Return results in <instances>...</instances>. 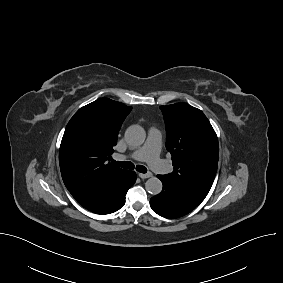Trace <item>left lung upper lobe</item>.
Here are the masks:
<instances>
[{"label": "left lung upper lobe", "mask_w": 283, "mask_h": 283, "mask_svg": "<svg viewBox=\"0 0 283 283\" xmlns=\"http://www.w3.org/2000/svg\"><path fill=\"white\" fill-rule=\"evenodd\" d=\"M160 109L166 125V149L174 166L172 173L163 176L200 204L217 171V135L204 113L189 104L176 103Z\"/></svg>", "instance_id": "5c2ea615"}]
</instances>
